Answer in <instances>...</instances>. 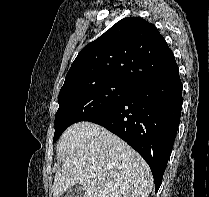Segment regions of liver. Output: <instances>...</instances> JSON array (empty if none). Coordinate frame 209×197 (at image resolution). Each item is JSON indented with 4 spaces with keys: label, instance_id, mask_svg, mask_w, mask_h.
Segmentation results:
<instances>
[{
    "label": "liver",
    "instance_id": "1",
    "mask_svg": "<svg viewBox=\"0 0 209 197\" xmlns=\"http://www.w3.org/2000/svg\"><path fill=\"white\" fill-rule=\"evenodd\" d=\"M62 166L54 177L53 196L76 184L84 197H148L153 178L148 164L121 138L91 122L68 127L58 140Z\"/></svg>",
    "mask_w": 209,
    "mask_h": 197
}]
</instances>
